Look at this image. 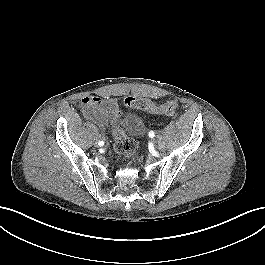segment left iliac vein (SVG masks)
Wrapping results in <instances>:
<instances>
[{
    "instance_id": "obj_1",
    "label": "left iliac vein",
    "mask_w": 265,
    "mask_h": 265,
    "mask_svg": "<svg viewBox=\"0 0 265 265\" xmlns=\"http://www.w3.org/2000/svg\"><path fill=\"white\" fill-rule=\"evenodd\" d=\"M156 148L159 150H162L164 148V142L161 138L158 139L157 144H156Z\"/></svg>"
}]
</instances>
